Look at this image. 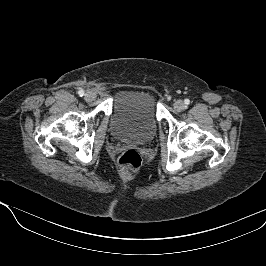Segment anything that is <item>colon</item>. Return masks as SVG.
<instances>
[{"label":"colon","mask_w":266,"mask_h":266,"mask_svg":"<svg viewBox=\"0 0 266 266\" xmlns=\"http://www.w3.org/2000/svg\"><path fill=\"white\" fill-rule=\"evenodd\" d=\"M142 159L139 152L135 149L124 151L119 157L118 164L124 170H137L141 165Z\"/></svg>","instance_id":"5ec220e1"}]
</instances>
